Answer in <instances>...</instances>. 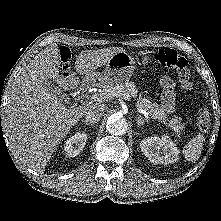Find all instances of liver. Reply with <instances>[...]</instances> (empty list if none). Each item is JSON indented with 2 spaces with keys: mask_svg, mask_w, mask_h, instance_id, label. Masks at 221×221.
Returning a JSON list of instances; mask_svg holds the SVG:
<instances>
[{
  "mask_svg": "<svg viewBox=\"0 0 221 221\" xmlns=\"http://www.w3.org/2000/svg\"><path fill=\"white\" fill-rule=\"evenodd\" d=\"M120 47L84 50L75 61V69L87 83H96V69L105 65ZM61 57L56 44L40 51L22 69L6 108L3 127L12 152L18 160L43 172L52 153L91 105L66 107L49 89L50 80L60 90L76 89V72L60 75ZM101 86V83H97ZM94 105V104H93Z\"/></svg>",
  "mask_w": 221,
  "mask_h": 221,
  "instance_id": "liver-1",
  "label": "liver"
}]
</instances>
